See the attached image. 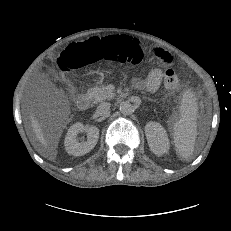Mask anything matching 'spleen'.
I'll return each instance as SVG.
<instances>
[{"label":"spleen","instance_id":"obj_1","mask_svg":"<svg viewBox=\"0 0 231 231\" xmlns=\"http://www.w3.org/2000/svg\"><path fill=\"white\" fill-rule=\"evenodd\" d=\"M197 102L193 91L183 93L180 119L173 125V143L177 154L187 160L193 155L197 137Z\"/></svg>","mask_w":231,"mask_h":231}]
</instances>
